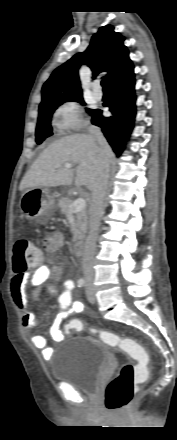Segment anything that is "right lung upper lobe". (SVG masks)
Returning <instances> with one entry per match:
<instances>
[{
	"instance_id": "cb5924a9",
	"label": "right lung upper lobe",
	"mask_w": 177,
	"mask_h": 440,
	"mask_svg": "<svg viewBox=\"0 0 177 440\" xmlns=\"http://www.w3.org/2000/svg\"><path fill=\"white\" fill-rule=\"evenodd\" d=\"M125 37L114 31L112 25L101 27L93 35L87 50L77 53L58 67L42 87V104L82 96L78 70L82 65L91 68L93 76L106 71L104 79L110 83L132 64L123 44Z\"/></svg>"
}]
</instances>
